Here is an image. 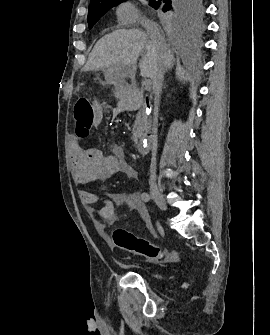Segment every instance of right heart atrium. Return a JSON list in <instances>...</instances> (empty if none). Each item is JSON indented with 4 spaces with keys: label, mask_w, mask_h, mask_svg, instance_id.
<instances>
[{
    "label": "right heart atrium",
    "mask_w": 270,
    "mask_h": 335,
    "mask_svg": "<svg viewBox=\"0 0 270 335\" xmlns=\"http://www.w3.org/2000/svg\"><path fill=\"white\" fill-rule=\"evenodd\" d=\"M117 18L121 25H156L145 19L130 1H122L117 7Z\"/></svg>",
    "instance_id": "right-heart-atrium-1"
}]
</instances>
